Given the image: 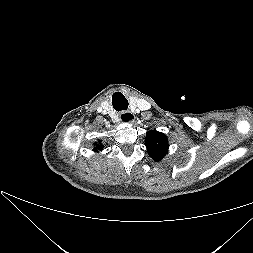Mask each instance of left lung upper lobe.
<instances>
[{
	"label": "left lung upper lobe",
	"mask_w": 253,
	"mask_h": 253,
	"mask_svg": "<svg viewBox=\"0 0 253 253\" xmlns=\"http://www.w3.org/2000/svg\"><path fill=\"white\" fill-rule=\"evenodd\" d=\"M145 146L150 157L155 161H160L167 154L169 144L164 133L153 130L147 133Z\"/></svg>",
	"instance_id": "1"
}]
</instances>
